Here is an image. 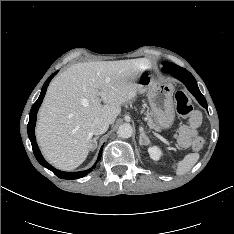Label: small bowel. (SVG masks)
I'll list each match as a JSON object with an SVG mask.
<instances>
[{"instance_id": "c3829d8e", "label": "small bowel", "mask_w": 234, "mask_h": 234, "mask_svg": "<svg viewBox=\"0 0 234 234\" xmlns=\"http://www.w3.org/2000/svg\"><path fill=\"white\" fill-rule=\"evenodd\" d=\"M201 123V115L195 112L189 124L183 125L179 129L178 143L181 147H188L192 139L198 134V127Z\"/></svg>"}]
</instances>
